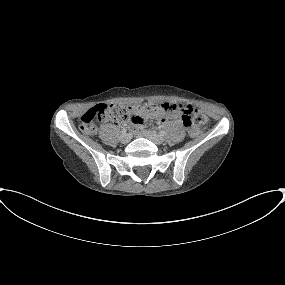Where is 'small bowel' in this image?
Instances as JSON below:
<instances>
[{
  "label": "small bowel",
  "mask_w": 285,
  "mask_h": 285,
  "mask_svg": "<svg viewBox=\"0 0 285 285\" xmlns=\"http://www.w3.org/2000/svg\"><path fill=\"white\" fill-rule=\"evenodd\" d=\"M176 105L177 104L169 103V102H162L158 104L157 111L137 118L136 126H138L139 128H144L146 120L150 117H154L160 122H165L167 120L174 119V120H178L180 124H184L182 119L180 118V113L175 110ZM198 132H199L198 129H196L195 134H197Z\"/></svg>",
  "instance_id": "1"
}]
</instances>
